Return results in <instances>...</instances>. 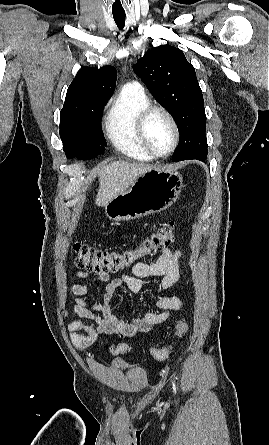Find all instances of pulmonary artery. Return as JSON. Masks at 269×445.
Segmentation results:
<instances>
[{
  "label": "pulmonary artery",
  "instance_id": "1",
  "mask_svg": "<svg viewBox=\"0 0 269 445\" xmlns=\"http://www.w3.org/2000/svg\"><path fill=\"white\" fill-rule=\"evenodd\" d=\"M125 86L143 91L142 86H141L139 83L135 82V81H133V82H129V83H127Z\"/></svg>",
  "mask_w": 269,
  "mask_h": 445
}]
</instances>
